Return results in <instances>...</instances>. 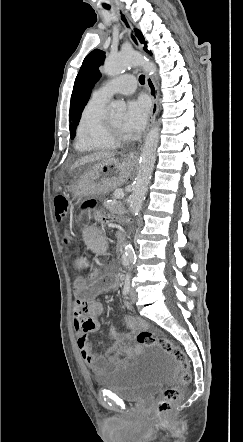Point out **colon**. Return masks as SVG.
<instances>
[{"mask_svg":"<svg viewBox=\"0 0 243 442\" xmlns=\"http://www.w3.org/2000/svg\"><path fill=\"white\" fill-rule=\"evenodd\" d=\"M95 206L93 200L85 201L81 206V214L90 216L95 209ZM54 208L57 221L62 222L68 215L70 205L66 197L63 195H57L54 198ZM137 221L136 216L128 217L125 213H100L98 215L97 224L102 226L104 222H110L112 226L119 225V227H126V224L128 226L136 225ZM65 241L68 242V236L65 237ZM82 310L85 311V308L83 307ZM137 342L145 347L153 345L158 346L179 364V384L167 388L157 405V418L167 419L170 417L173 409L180 400L183 388L191 382L192 374L188 357L186 353L176 346L170 339L166 337H158L151 332L144 331L139 333L137 336Z\"/></svg>","mask_w":243,"mask_h":442,"instance_id":"1","label":"colon"}]
</instances>
